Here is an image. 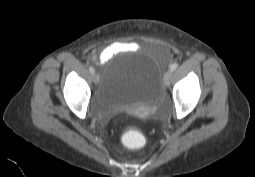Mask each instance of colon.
<instances>
[{"label": "colon", "instance_id": "1", "mask_svg": "<svg viewBox=\"0 0 255 177\" xmlns=\"http://www.w3.org/2000/svg\"><path fill=\"white\" fill-rule=\"evenodd\" d=\"M143 140H144L143 136L139 132H136V131L127 132L122 137V141H123L124 145L126 147L132 148V149H137V148L141 147Z\"/></svg>", "mask_w": 255, "mask_h": 177}]
</instances>
